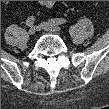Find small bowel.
<instances>
[{
    "label": "small bowel",
    "mask_w": 109,
    "mask_h": 109,
    "mask_svg": "<svg viewBox=\"0 0 109 109\" xmlns=\"http://www.w3.org/2000/svg\"><path fill=\"white\" fill-rule=\"evenodd\" d=\"M41 5L46 8H51L54 6V1H41Z\"/></svg>",
    "instance_id": "1"
}]
</instances>
